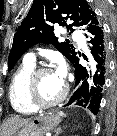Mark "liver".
<instances>
[{
  "label": "liver",
  "mask_w": 117,
  "mask_h": 136,
  "mask_svg": "<svg viewBox=\"0 0 117 136\" xmlns=\"http://www.w3.org/2000/svg\"><path fill=\"white\" fill-rule=\"evenodd\" d=\"M32 118H22L20 116H12L4 121L2 126V136H12L14 135L21 127L27 125Z\"/></svg>",
  "instance_id": "6515ba94"
}]
</instances>
